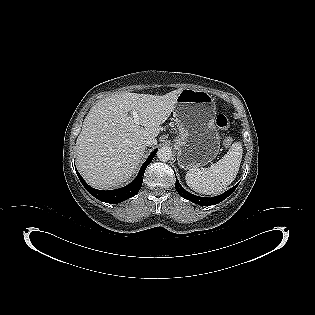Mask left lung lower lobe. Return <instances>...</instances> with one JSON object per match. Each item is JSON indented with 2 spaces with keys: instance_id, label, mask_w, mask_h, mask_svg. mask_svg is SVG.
Here are the masks:
<instances>
[{
  "instance_id": "left-lung-lower-lobe-1",
  "label": "left lung lower lobe",
  "mask_w": 315,
  "mask_h": 315,
  "mask_svg": "<svg viewBox=\"0 0 315 315\" xmlns=\"http://www.w3.org/2000/svg\"><path fill=\"white\" fill-rule=\"evenodd\" d=\"M238 185V184H237ZM237 185H235L233 188L230 190L224 192L221 195L211 197V198H205V197H199L196 195H193L189 192H187L179 183V181L176 178V190L182 196L183 198L190 200L196 204H199L201 206H210V205H215L226 199L232 192L236 189Z\"/></svg>"
}]
</instances>
